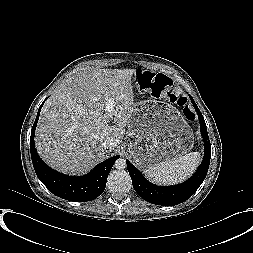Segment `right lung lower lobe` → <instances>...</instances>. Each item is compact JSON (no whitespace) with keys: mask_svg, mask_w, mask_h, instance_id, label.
I'll return each instance as SVG.
<instances>
[{"mask_svg":"<svg viewBox=\"0 0 253 253\" xmlns=\"http://www.w3.org/2000/svg\"><path fill=\"white\" fill-rule=\"evenodd\" d=\"M43 103L39 107L31 130L30 152L33 167L40 181L56 196L69 201H91L101 195L106 187L108 174L119 156L111 157L85 176L76 177L59 173L47 166L39 157L34 142V133Z\"/></svg>","mask_w":253,"mask_h":253,"instance_id":"1","label":"right lung lower lobe"}]
</instances>
